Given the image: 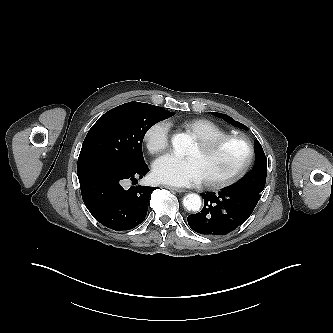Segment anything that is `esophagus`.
<instances>
[{
  "instance_id": "34e87169",
  "label": "esophagus",
  "mask_w": 333,
  "mask_h": 333,
  "mask_svg": "<svg viewBox=\"0 0 333 333\" xmlns=\"http://www.w3.org/2000/svg\"><path fill=\"white\" fill-rule=\"evenodd\" d=\"M167 189H170L172 191H175V192H178V193H182V192H185L184 189L182 188H176V187H172V186H165Z\"/></svg>"
}]
</instances>
